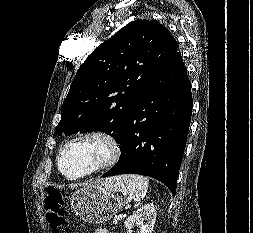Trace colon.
Listing matches in <instances>:
<instances>
[{
    "instance_id": "colon-1",
    "label": "colon",
    "mask_w": 253,
    "mask_h": 233,
    "mask_svg": "<svg viewBox=\"0 0 253 233\" xmlns=\"http://www.w3.org/2000/svg\"><path fill=\"white\" fill-rule=\"evenodd\" d=\"M46 220L53 233L65 223V195L56 188H50L45 195Z\"/></svg>"
}]
</instances>
